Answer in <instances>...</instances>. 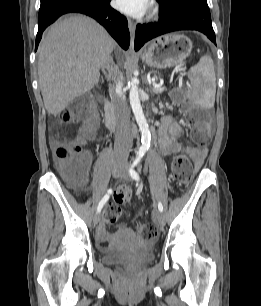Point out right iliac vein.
<instances>
[{
    "label": "right iliac vein",
    "instance_id": "63e3f726",
    "mask_svg": "<svg viewBox=\"0 0 261 306\" xmlns=\"http://www.w3.org/2000/svg\"><path fill=\"white\" fill-rule=\"evenodd\" d=\"M120 171V165L119 163H115L111 168V173L113 177H117ZM101 219L100 213H96L93 217L94 224H98Z\"/></svg>",
    "mask_w": 261,
    "mask_h": 306
}]
</instances>
